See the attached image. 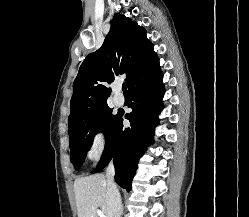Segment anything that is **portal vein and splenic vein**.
Returning <instances> with one entry per match:
<instances>
[{
    "instance_id": "18ae733b",
    "label": "portal vein and splenic vein",
    "mask_w": 249,
    "mask_h": 217,
    "mask_svg": "<svg viewBox=\"0 0 249 217\" xmlns=\"http://www.w3.org/2000/svg\"><path fill=\"white\" fill-rule=\"evenodd\" d=\"M97 214L99 217H106L101 210H97Z\"/></svg>"
}]
</instances>
